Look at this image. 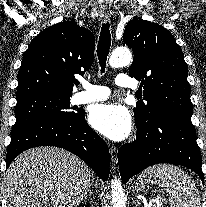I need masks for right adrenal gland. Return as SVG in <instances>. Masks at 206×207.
I'll use <instances>...</instances> for the list:
<instances>
[{"instance_id":"right-adrenal-gland-1","label":"right adrenal gland","mask_w":206,"mask_h":207,"mask_svg":"<svg viewBox=\"0 0 206 207\" xmlns=\"http://www.w3.org/2000/svg\"><path fill=\"white\" fill-rule=\"evenodd\" d=\"M87 199H90V200H91V204H92V207H93L94 202H93V197H92V191H91L90 188L88 189V195H86V196L82 199V201H85V200H87Z\"/></svg>"}]
</instances>
